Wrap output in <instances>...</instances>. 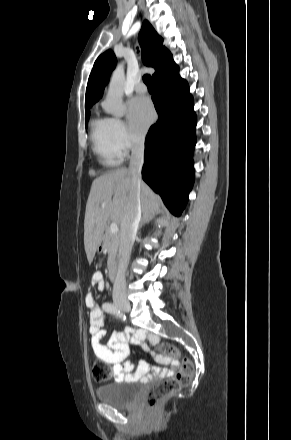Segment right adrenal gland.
I'll return each mask as SVG.
<instances>
[{
    "mask_svg": "<svg viewBox=\"0 0 291 440\" xmlns=\"http://www.w3.org/2000/svg\"><path fill=\"white\" fill-rule=\"evenodd\" d=\"M154 217V215H143L140 221L139 229L142 228L143 224L150 223Z\"/></svg>",
    "mask_w": 291,
    "mask_h": 440,
    "instance_id": "1",
    "label": "right adrenal gland"
}]
</instances>
